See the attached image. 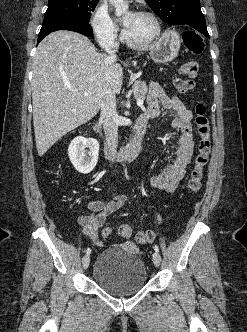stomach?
I'll list each match as a JSON object with an SVG mask.
<instances>
[{"label": "stomach", "mask_w": 247, "mask_h": 332, "mask_svg": "<svg viewBox=\"0 0 247 332\" xmlns=\"http://www.w3.org/2000/svg\"><path fill=\"white\" fill-rule=\"evenodd\" d=\"M180 45L179 34L170 30L150 46L149 54L155 63H168L177 57Z\"/></svg>", "instance_id": "0dacf381"}]
</instances>
